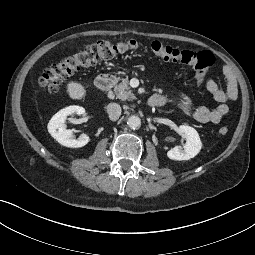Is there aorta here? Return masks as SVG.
Here are the masks:
<instances>
[{"instance_id": "obj_1", "label": "aorta", "mask_w": 255, "mask_h": 255, "mask_svg": "<svg viewBox=\"0 0 255 255\" xmlns=\"http://www.w3.org/2000/svg\"><path fill=\"white\" fill-rule=\"evenodd\" d=\"M127 125L131 129H138L141 126V119L136 115H132L128 118Z\"/></svg>"}]
</instances>
